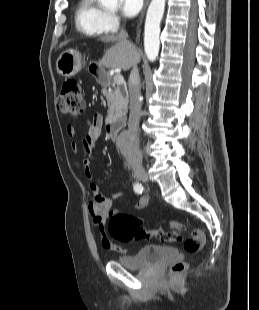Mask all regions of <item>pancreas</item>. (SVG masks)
<instances>
[{
	"instance_id": "pancreas-1",
	"label": "pancreas",
	"mask_w": 259,
	"mask_h": 310,
	"mask_svg": "<svg viewBox=\"0 0 259 310\" xmlns=\"http://www.w3.org/2000/svg\"><path fill=\"white\" fill-rule=\"evenodd\" d=\"M102 94L106 97L108 102L107 123H114L117 121H124L128 109V98L123 95L119 86H113L109 91L105 84H103Z\"/></svg>"
}]
</instances>
